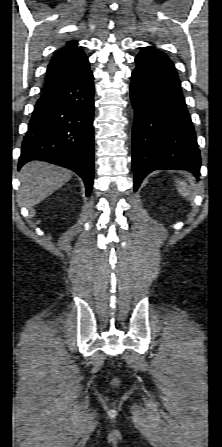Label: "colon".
<instances>
[{
  "mask_svg": "<svg viewBox=\"0 0 222 447\" xmlns=\"http://www.w3.org/2000/svg\"><path fill=\"white\" fill-rule=\"evenodd\" d=\"M118 383V380H114V384H117Z\"/></svg>",
  "mask_w": 222,
  "mask_h": 447,
  "instance_id": "colon-1",
  "label": "colon"
}]
</instances>
